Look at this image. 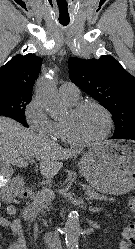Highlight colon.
<instances>
[{"mask_svg": "<svg viewBox=\"0 0 135 249\" xmlns=\"http://www.w3.org/2000/svg\"><path fill=\"white\" fill-rule=\"evenodd\" d=\"M129 208L135 213V197L129 200ZM135 248V223L130 224L124 230L121 249H134Z\"/></svg>", "mask_w": 135, "mask_h": 249, "instance_id": "1", "label": "colon"}]
</instances>
